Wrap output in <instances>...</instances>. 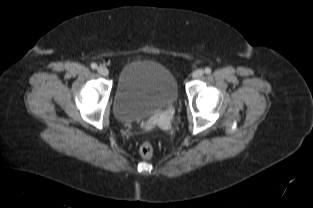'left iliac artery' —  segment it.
<instances>
[{
  "instance_id": "left-iliac-artery-1",
  "label": "left iliac artery",
  "mask_w": 313,
  "mask_h": 208,
  "mask_svg": "<svg viewBox=\"0 0 313 208\" xmlns=\"http://www.w3.org/2000/svg\"><path fill=\"white\" fill-rule=\"evenodd\" d=\"M205 73L206 74H210L211 73V68H209V67L205 68Z\"/></svg>"
}]
</instances>
